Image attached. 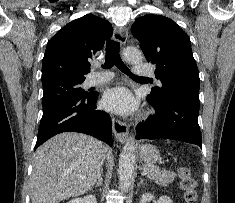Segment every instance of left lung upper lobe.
<instances>
[{"instance_id":"obj_1","label":"left lung upper lobe","mask_w":235,"mask_h":203,"mask_svg":"<svg viewBox=\"0 0 235 203\" xmlns=\"http://www.w3.org/2000/svg\"><path fill=\"white\" fill-rule=\"evenodd\" d=\"M132 34L147 60L156 64L162 87H153L149 97L162 101L176 92L199 95V72L188 35L171 19L149 14L135 20Z\"/></svg>"}]
</instances>
